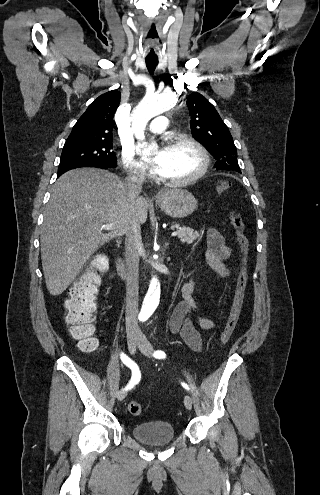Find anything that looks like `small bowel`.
<instances>
[{
    "label": "small bowel",
    "instance_id": "obj_1",
    "mask_svg": "<svg viewBox=\"0 0 320 495\" xmlns=\"http://www.w3.org/2000/svg\"><path fill=\"white\" fill-rule=\"evenodd\" d=\"M207 237L209 249L206 253V260L208 265L219 275L230 276L234 266L228 267L225 261L231 258L232 248L216 228L210 227L207 231ZM194 287V278H190L182 286L183 300L174 308L169 320V328L172 333H179L192 350L199 351L202 347L199 329L212 330L220 324L197 314L198 304L193 297Z\"/></svg>",
    "mask_w": 320,
    "mask_h": 495
}]
</instances>
